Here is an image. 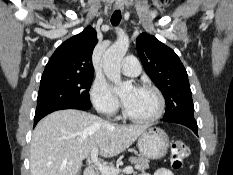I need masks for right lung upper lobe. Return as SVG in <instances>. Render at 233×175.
Listing matches in <instances>:
<instances>
[{
	"label": "right lung upper lobe",
	"instance_id": "right-lung-upper-lobe-1",
	"mask_svg": "<svg viewBox=\"0 0 233 175\" xmlns=\"http://www.w3.org/2000/svg\"><path fill=\"white\" fill-rule=\"evenodd\" d=\"M97 42L96 31L90 26L69 38L51 56L42 78L94 74L92 53Z\"/></svg>",
	"mask_w": 233,
	"mask_h": 175
}]
</instances>
